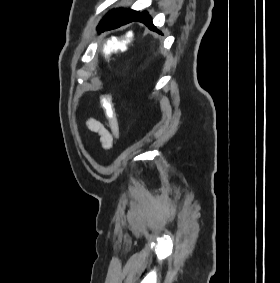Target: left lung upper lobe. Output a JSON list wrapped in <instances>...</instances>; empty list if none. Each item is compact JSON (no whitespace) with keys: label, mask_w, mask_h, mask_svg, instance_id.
Here are the masks:
<instances>
[{"label":"left lung upper lobe","mask_w":280,"mask_h":283,"mask_svg":"<svg viewBox=\"0 0 280 283\" xmlns=\"http://www.w3.org/2000/svg\"><path fill=\"white\" fill-rule=\"evenodd\" d=\"M137 13H138L137 11H134V10H131V9H122V8L114 9V10L108 12V14L104 17V19L101 20L99 26H101L102 24H104L106 22L117 19V18H130Z\"/></svg>","instance_id":"5c2ea615"}]
</instances>
